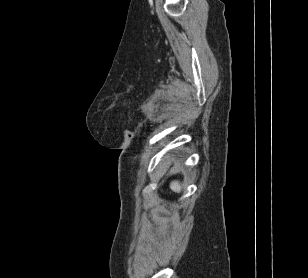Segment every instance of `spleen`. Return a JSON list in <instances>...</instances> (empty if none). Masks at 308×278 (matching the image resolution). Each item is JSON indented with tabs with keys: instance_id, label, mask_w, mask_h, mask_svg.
Returning a JSON list of instances; mask_svg holds the SVG:
<instances>
[{
	"instance_id": "obj_1",
	"label": "spleen",
	"mask_w": 308,
	"mask_h": 278,
	"mask_svg": "<svg viewBox=\"0 0 308 278\" xmlns=\"http://www.w3.org/2000/svg\"><path fill=\"white\" fill-rule=\"evenodd\" d=\"M170 189L173 191V192H176V193H180L181 192V189H182V185L179 181L177 180H174L170 183Z\"/></svg>"
}]
</instances>
